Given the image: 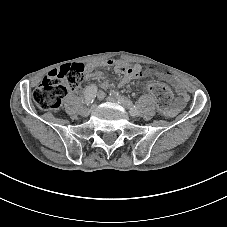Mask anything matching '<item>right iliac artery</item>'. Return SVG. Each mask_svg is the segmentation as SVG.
Returning <instances> with one entry per match:
<instances>
[{"label":"right iliac artery","mask_w":227,"mask_h":227,"mask_svg":"<svg viewBox=\"0 0 227 227\" xmlns=\"http://www.w3.org/2000/svg\"><path fill=\"white\" fill-rule=\"evenodd\" d=\"M97 93V87L94 85L88 86L85 89L84 96H85V103L90 105L93 103Z\"/></svg>","instance_id":"1"}]
</instances>
